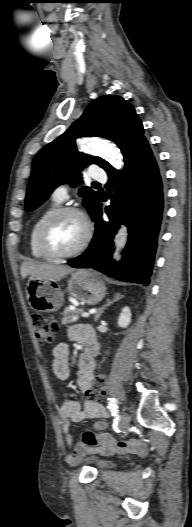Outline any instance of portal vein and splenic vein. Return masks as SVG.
Listing matches in <instances>:
<instances>
[{"label": "portal vein and splenic vein", "mask_w": 192, "mask_h": 527, "mask_svg": "<svg viewBox=\"0 0 192 527\" xmlns=\"http://www.w3.org/2000/svg\"><path fill=\"white\" fill-rule=\"evenodd\" d=\"M89 315H90V313H88V312H82L81 313L82 317H89Z\"/></svg>", "instance_id": "portal-vein-and-splenic-vein-1"}]
</instances>
